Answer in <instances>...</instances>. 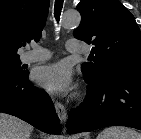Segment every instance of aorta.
<instances>
[{
  "label": "aorta",
  "mask_w": 141,
  "mask_h": 139,
  "mask_svg": "<svg viewBox=\"0 0 141 139\" xmlns=\"http://www.w3.org/2000/svg\"><path fill=\"white\" fill-rule=\"evenodd\" d=\"M81 16L76 11H67L62 17V26L64 28H72L79 25Z\"/></svg>",
  "instance_id": "obj_1"
}]
</instances>
